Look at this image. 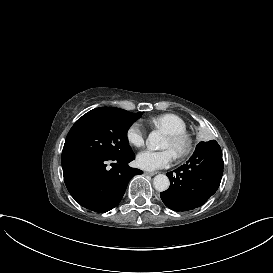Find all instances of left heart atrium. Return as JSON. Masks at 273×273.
I'll use <instances>...</instances> for the list:
<instances>
[{
	"label": "left heart atrium",
	"mask_w": 273,
	"mask_h": 273,
	"mask_svg": "<svg viewBox=\"0 0 273 273\" xmlns=\"http://www.w3.org/2000/svg\"><path fill=\"white\" fill-rule=\"evenodd\" d=\"M174 157V152L169 147L161 150L146 148L138 153L136 163L140 169L153 171L169 166Z\"/></svg>",
	"instance_id": "left-heart-atrium-1"
}]
</instances>
